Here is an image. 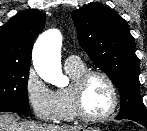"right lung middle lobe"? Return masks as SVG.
Segmentation results:
<instances>
[{
	"instance_id": "obj_1",
	"label": "right lung middle lobe",
	"mask_w": 147,
	"mask_h": 131,
	"mask_svg": "<svg viewBox=\"0 0 147 131\" xmlns=\"http://www.w3.org/2000/svg\"><path fill=\"white\" fill-rule=\"evenodd\" d=\"M29 66L0 64V107L29 109L27 82Z\"/></svg>"
}]
</instances>
